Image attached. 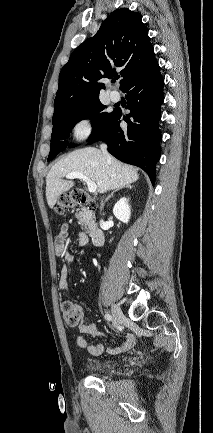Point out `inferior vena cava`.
Here are the masks:
<instances>
[{"label": "inferior vena cava", "instance_id": "602c4592", "mask_svg": "<svg viewBox=\"0 0 213 433\" xmlns=\"http://www.w3.org/2000/svg\"><path fill=\"white\" fill-rule=\"evenodd\" d=\"M100 147H101V151H102L103 155L105 157L109 158L110 155H109V153L107 151V146L105 144H102ZM102 205H103V203H102Z\"/></svg>", "mask_w": 213, "mask_h": 433}]
</instances>
